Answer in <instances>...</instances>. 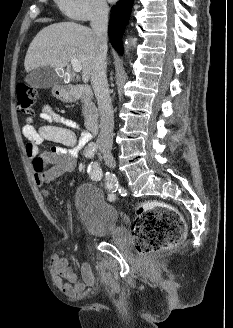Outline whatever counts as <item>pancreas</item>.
<instances>
[{
	"mask_svg": "<svg viewBox=\"0 0 233 328\" xmlns=\"http://www.w3.org/2000/svg\"><path fill=\"white\" fill-rule=\"evenodd\" d=\"M82 112L84 115L93 114L97 112L95 104L91 101V98L87 95H83L81 98Z\"/></svg>",
	"mask_w": 233,
	"mask_h": 328,
	"instance_id": "1",
	"label": "pancreas"
}]
</instances>
